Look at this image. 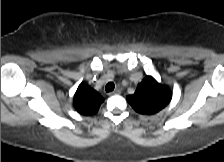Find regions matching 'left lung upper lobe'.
I'll use <instances>...</instances> for the list:
<instances>
[{
    "mask_svg": "<svg viewBox=\"0 0 224 162\" xmlns=\"http://www.w3.org/2000/svg\"><path fill=\"white\" fill-rule=\"evenodd\" d=\"M171 91L159 84L153 77L146 76L127 101L141 114L152 115L163 109L171 100Z\"/></svg>",
    "mask_w": 224,
    "mask_h": 162,
    "instance_id": "1",
    "label": "left lung upper lobe"
}]
</instances>
